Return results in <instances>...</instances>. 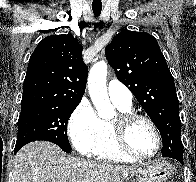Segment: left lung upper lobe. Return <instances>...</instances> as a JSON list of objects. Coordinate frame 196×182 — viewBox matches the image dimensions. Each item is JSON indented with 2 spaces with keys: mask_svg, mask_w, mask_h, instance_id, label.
<instances>
[{
  "mask_svg": "<svg viewBox=\"0 0 196 182\" xmlns=\"http://www.w3.org/2000/svg\"><path fill=\"white\" fill-rule=\"evenodd\" d=\"M117 78L129 88L158 128L162 156L183 154L179 101L173 76L156 39L144 32L123 30L106 47Z\"/></svg>",
  "mask_w": 196,
  "mask_h": 182,
  "instance_id": "5c2ea615",
  "label": "left lung upper lobe"
}]
</instances>
